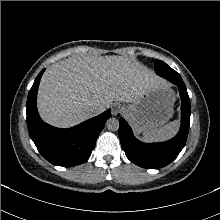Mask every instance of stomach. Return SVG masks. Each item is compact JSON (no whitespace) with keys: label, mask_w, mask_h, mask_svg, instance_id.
<instances>
[{"label":"stomach","mask_w":220,"mask_h":220,"mask_svg":"<svg viewBox=\"0 0 220 220\" xmlns=\"http://www.w3.org/2000/svg\"><path fill=\"white\" fill-rule=\"evenodd\" d=\"M174 101V91L167 83L161 82L127 105L124 113L136 132L153 130L170 119Z\"/></svg>","instance_id":"1"}]
</instances>
